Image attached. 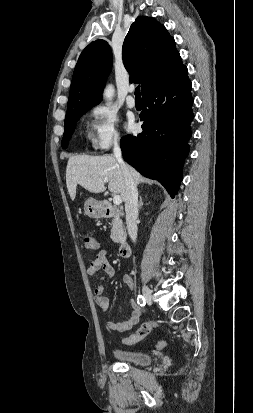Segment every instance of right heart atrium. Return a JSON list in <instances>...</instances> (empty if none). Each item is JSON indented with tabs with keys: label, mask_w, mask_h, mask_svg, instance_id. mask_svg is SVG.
Here are the masks:
<instances>
[{
	"label": "right heart atrium",
	"mask_w": 253,
	"mask_h": 413,
	"mask_svg": "<svg viewBox=\"0 0 253 413\" xmlns=\"http://www.w3.org/2000/svg\"><path fill=\"white\" fill-rule=\"evenodd\" d=\"M90 115L91 143L94 149L107 151L120 143L121 136L118 130V117L116 113L107 106L94 107Z\"/></svg>",
	"instance_id": "1"
}]
</instances>
